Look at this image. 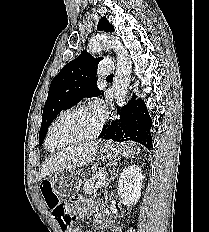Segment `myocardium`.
<instances>
[{"label": "myocardium", "mask_w": 209, "mask_h": 232, "mask_svg": "<svg viewBox=\"0 0 209 232\" xmlns=\"http://www.w3.org/2000/svg\"><path fill=\"white\" fill-rule=\"evenodd\" d=\"M73 111H87V112H94V110L92 108H90L89 106H86V105H75V106H72L70 108H67L66 110L62 111L55 119L54 121L51 123V125L49 126V129L47 131V135H46V138H45V145H46V148L49 150V151H56V150H59L63 147H66L67 145H70L72 143H76V142H80V141H83V140H87V139H90L94 136H96L102 129V126H103V122H104V119L102 116H99V120H98V123L95 125V127L89 131L88 133H85L81 136H78V137H75V138H72V139H69L68 141H66L64 144H62L60 147L58 148H52L50 146V137H51V134H52V131L54 129V127L57 125V123L67 114L73 112Z\"/></svg>", "instance_id": "f54148a6"}]
</instances>
